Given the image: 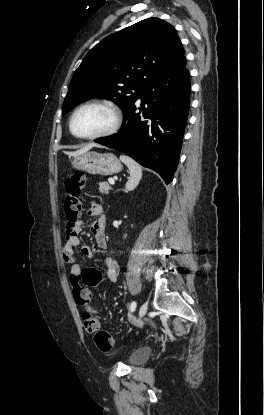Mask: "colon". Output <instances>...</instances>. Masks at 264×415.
Here are the masks:
<instances>
[{
	"label": "colon",
	"instance_id": "colon-1",
	"mask_svg": "<svg viewBox=\"0 0 264 415\" xmlns=\"http://www.w3.org/2000/svg\"><path fill=\"white\" fill-rule=\"evenodd\" d=\"M86 177L81 171H74L65 180V197L64 211L66 214L65 233L67 236H75L77 234V224L81 213V203L79 200L80 192L84 188ZM102 273L95 268L85 269L81 274L70 276L72 294L75 303L84 307V327L89 333L94 334V340L97 347L102 352H110L113 348V339L111 335L100 328L98 315L95 309L90 305L89 287H96L102 282Z\"/></svg>",
	"mask_w": 264,
	"mask_h": 415
}]
</instances>
